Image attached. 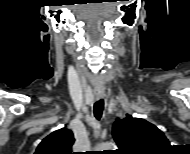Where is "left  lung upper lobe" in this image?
<instances>
[{"label": "left lung upper lobe", "instance_id": "1", "mask_svg": "<svg viewBox=\"0 0 190 154\" xmlns=\"http://www.w3.org/2000/svg\"><path fill=\"white\" fill-rule=\"evenodd\" d=\"M113 137L119 154H162L170 148L168 139L155 125L129 114L116 120Z\"/></svg>", "mask_w": 190, "mask_h": 154}]
</instances>
